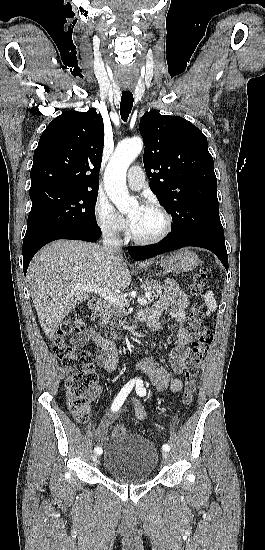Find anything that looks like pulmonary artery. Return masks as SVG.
<instances>
[{"label": "pulmonary artery", "instance_id": "obj_1", "mask_svg": "<svg viewBox=\"0 0 265 550\" xmlns=\"http://www.w3.org/2000/svg\"><path fill=\"white\" fill-rule=\"evenodd\" d=\"M127 183L130 189L138 191L145 185V174L141 166H132L127 174Z\"/></svg>", "mask_w": 265, "mask_h": 550}]
</instances>
